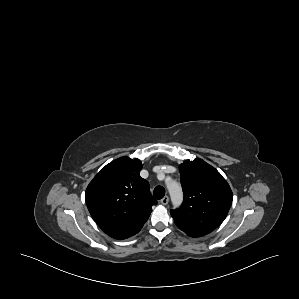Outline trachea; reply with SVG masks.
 Segmentation results:
<instances>
[{
	"mask_svg": "<svg viewBox=\"0 0 299 299\" xmlns=\"http://www.w3.org/2000/svg\"><path fill=\"white\" fill-rule=\"evenodd\" d=\"M153 194L156 199H162L165 195V189L162 186H157L155 187Z\"/></svg>",
	"mask_w": 299,
	"mask_h": 299,
	"instance_id": "obj_1",
	"label": "trachea"
}]
</instances>
